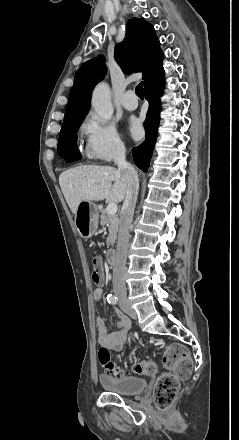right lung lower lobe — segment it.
<instances>
[{"label":"right lung lower lobe","instance_id":"right-lung-lower-lobe-1","mask_svg":"<svg viewBox=\"0 0 239 440\" xmlns=\"http://www.w3.org/2000/svg\"><path fill=\"white\" fill-rule=\"evenodd\" d=\"M144 86L145 98L149 102V108L146 115L147 118L144 123L146 138L142 144L132 149V154L135 164L140 169L147 172V168L149 167L150 159L152 157V152L157 138L159 113L161 109L160 103L158 101L159 98L162 96L164 89V70L162 69L156 75L149 78L144 83ZM59 155L67 162H72L81 158V154L77 146L65 150Z\"/></svg>","mask_w":239,"mask_h":440}]
</instances>
